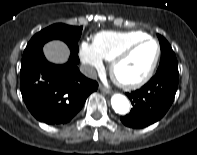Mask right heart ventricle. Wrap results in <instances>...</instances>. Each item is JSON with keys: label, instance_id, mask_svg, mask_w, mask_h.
<instances>
[{"label": "right heart ventricle", "instance_id": "right-heart-ventricle-1", "mask_svg": "<svg viewBox=\"0 0 197 155\" xmlns=\"http://www.w3.org/2000/svg\"><path fill=\"white\" fill-rule=\"evenodd\" d=\"M145 37L141 31H102L94 36L92 45L102 59L112 61L123 48Z\"/></svg>", "mask_w": 197, "mask_h": 155}]
</instances>
